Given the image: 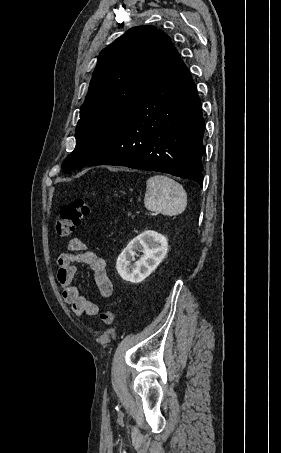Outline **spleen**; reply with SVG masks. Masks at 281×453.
I'll list each match as a JSON object with an SVG mask.
<instances>
[{
    "label": "spleen",
    "instance_id": "spleen-1",
    "mask_svg": "<svg viewBox=\"0 0 281 453\" xmlns=\"http://www.w3.org/2000/svg\"><path fill=\"white\" fill-rule=\"evenodd\" d=\"M144 204L148 210L161 214H181L186 208L187 194L176 180L156 174L150 176L146 182Z\"/></svg>",
    "mask_w": 281,
    "mask_h": 453
}]
</instances>
